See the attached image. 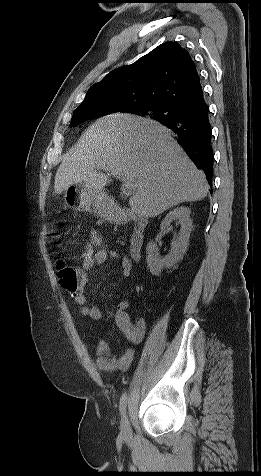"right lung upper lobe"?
<instances>
[{"label": "right lung upper lobe", "instance_id": "1", "mask_svg": "<svg viewBox=\"0 0 261 476\" xmlns=\"http://www.w3.org/2000/svg\"><path fill=\"white\" fill-rule=\"evenodd\" d=\"M202 93L190 54L179 44L166 42L135 63L107 74L89 88L79 106L121 105L127 112L149 105L180 109L197 101Z\"/></svg>", "mask_w": 261, "mask_h": 476}]
</instances>
